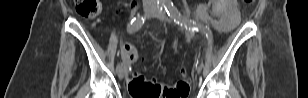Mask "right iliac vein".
<instances>
[{"mask_svg":"<svg viewBox=\"0 0 308 98\" xmlns=\"http://www.w3.org/2000/svg\"><path fill=\"white\" fill-rule=\"evenodd\" d=\"M154 10V7L151 5L144 6L143 12L145 15H149ZM119 79H123L126 74L125 68L121 66L120 70L117 72Z\"/></svg>","mask_w":308,"mask_h":98,"instance_id":"right-iliac-vein-1","label":"right iliac vein"}]
</instances>
